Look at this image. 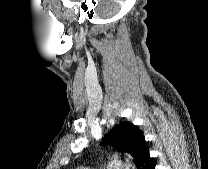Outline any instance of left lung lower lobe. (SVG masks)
<instances>
[{"mask_svg": "<svg viewBox=\"0 0 208 169\" xmlns=\"http://www.w3.org/2000/svg\"><path fill=\"white\" fill-rule=\"evenodd\" d=\"M137 169H155V165L149 154V149H146L139 158L136 165Z\"/></svg>", "mask_w": 208, "mask_h": 169, "instance_id": "0a47b994", "label": "left lung lower lobe"}]
</instances>
